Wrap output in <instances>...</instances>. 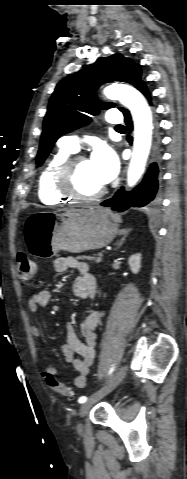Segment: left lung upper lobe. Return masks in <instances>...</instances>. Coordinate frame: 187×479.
Segmentation results:
<instances>
[{
  "label": "left lung upper lobe",
  "mask_w": 187,
  "mask_h": 479,
  "mask_svg": "<svg viewBox=\"0 0 187 479\" xmlns=\"http://www.w3.org/2000/svg\"><path fill=\"white\" fill-rule=\"evenodd\" d=\"M112 81L127 82L137 88L141 82L140 66L122 54H114L100 58L58 83L44 119L37 166L42 165L61 135L87 124L90 121L88 115L98 114L100 108L108 109L115 105L101 103L96 97L99 86Z\"/></svg>",
  "instance_id": "obj_1"
}]
</instances>
